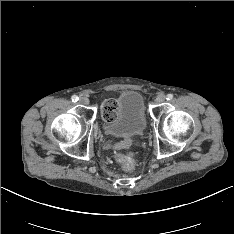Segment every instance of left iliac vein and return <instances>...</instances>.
<instances>
[{
	"instance_id": "1",
	"label": "left iliac vein",
	"mask_w": 234,
	"mask_h": 234,
	"mask_svg": "<svg viewBox=\"0 0 234 234\" xmlns=\"http://www.w3.org/2000/svg\"><path fill=\"white\" fill-rule=\"evenodd\" d=\"M166 100V96L164 94H159L157 97H156V101L158 103H162Z\"/></svg>"
}]
</instances>
